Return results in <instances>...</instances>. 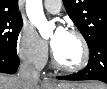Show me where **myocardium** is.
Masks as SVG:
<instances>
[{
  "mask_svg": "<svg viewBox=\"0 0 107 89\" xmlns=\"http://www.w3.org/2000/svg\"><path fill=\"white\" fill-rule=\"evenodd\" d=\"M66 32L75 36L78 39V41L80 42V45L82 48V58L78 64H76L74 66H67V65L62 64L57 59L56 54L53 50L52 51V61H53L54 66L59 70H62L65 72H78V71L84 69L89 62V59H90L89 45H88L86 38L79 30L74 29V28H69L66 30Z\"/></svg>",
  "mask_w": 107,
  "mask_h": 89,
  "instance_id": "obj_1",
  "label": "myocardium"
}]
</instances>
